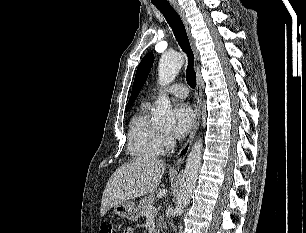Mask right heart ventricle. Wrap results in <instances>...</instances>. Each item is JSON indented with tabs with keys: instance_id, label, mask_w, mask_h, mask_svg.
Returning <instances> with one entry per match:
<instances>
[{
	"instance_id": "e07e8e85",
	"label": "right heart ventricle",
	"mask_w": 306,
	"mask_h": 233,
	"mask_svg": "<svg viewBox=\"0 0 306 233\" xmlns=\"http://www.w3.org/2000/svg\"><path fill=\"white\" fill-rule=\"evenodd\" d=\"M128 154L137 160L156 158L160 153V131L150 118V104L144 103L130 122Z\"/></svg>"
}]
</instances>
